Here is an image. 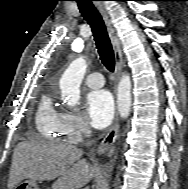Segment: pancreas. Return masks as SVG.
<instances>
[{
	"instance_id": "1",
	"label": "pancreas",
	"mask_w": 188,
	"mask_h": 189,
	"mask_svg": "<svg viewBox=\"0 0 188 189\" xmlns=\"http://www.w3.org/2000/svg\"><path fill=\"white\" fill-rule=\"evenodd\" d=\"M57 185H58V183H55V184L53 185V189H56V188H57Z\"/></svg>"
}]
</instances>
